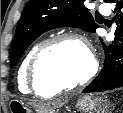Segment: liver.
Returning <instances> with one entry per match:
<instances>
[{"label": "liver", "instance_id": "1", "mask_svg": "<svg viewBox=\"0 0 123 113\" xmlns=\"http://www.w3.org/2000/svg\"><path fill=\"white\" fill-rule=\"evenodd\" d=\"M66 102H67L66 100L56 101V102H52V103L43 104L41 107H42V109H44V111H46V110H50L55 107L61 106V105L65 104Z\"/></svg>", "mask_w": 123, "mask_h": 113}]
</instances>
